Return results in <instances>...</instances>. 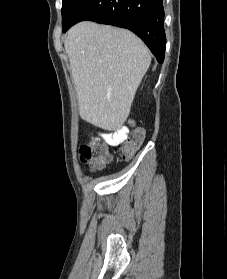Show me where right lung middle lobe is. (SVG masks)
Returning <instances> with one entry per match:
<instances>
[{"instance_id":"obj_1","label":"right lung middle lobe","mask_w":227,"mask_h":279,"mask_svg":"<svg viewBox=\"0 0 227 279\" xmlns=\"http://www.w3.org/2000/svg\"><path fill=\"white\" fill-rule=\"evenodd\" d=\"M84 0H62V25L63 32H66L71 26L74 16Z\"/></svg>"}]
</instances>
